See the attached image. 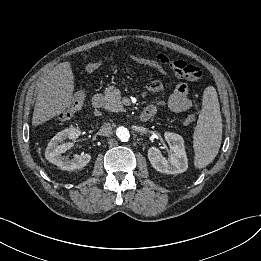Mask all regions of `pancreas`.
I'll return each instance as SVG.
<instances>
[{
    "instance_id": "pancreas-1",
    "label": "pancreas",
    "mask_w": 261,
    "mask_h": 261,
    "mask_svg": "<svg viewBox=\"0 0 261 261\" xmlns=\"http://www.w3.org/2000/svg\"><path fill=\"white\" fill-rule=\"evenodd\" d=\"M105 105L104 108L111 112L125 111L121 102V92L119 89L109 87L105 90Z\"/></svg>"
}]
</instances>
